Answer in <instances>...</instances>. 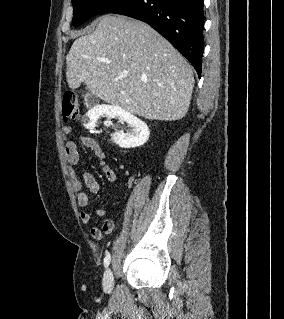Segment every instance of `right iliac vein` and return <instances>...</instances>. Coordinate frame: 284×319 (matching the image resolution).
I'll return each instance as SVG.
<instances>
[{
    "label": "right iliac vein",
    "instance_id": "63e3f726",
    "mask_svg": "<svg viewBox=\"0 0 284 319\" xmlns=\"http://www.w3.org/2000/svg\"><path fill=\"white\" fill-rule=\"evenodd\" d=\"M114 287L113 272L110 268H107L103 277V288L106 292H111Z\"/></svg>",
    "mask_w": 284,
    "mask_h": 319
}]
</instances>
